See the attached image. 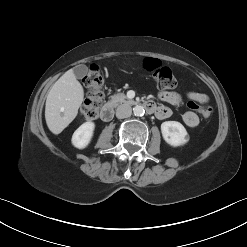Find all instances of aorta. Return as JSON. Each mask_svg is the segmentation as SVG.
Listing matches in <instances>:
<instances>
[{"instance_id": "obj_1", "label": "aorta", "mask_w": 247, "mask_h": 247, "mask_svg": "<svg viewBox=\"0 0 247 247\" xmlns=\"http://www.w3.org/2000/svg\"><path fill=\"white\" fill-rule=\"evenodd\" d=\"M133 112H134V115H135V116H143L144 113H145V110H144L143 106L136 105V106L133 108Z\"/></svg>"}]
</instances>
